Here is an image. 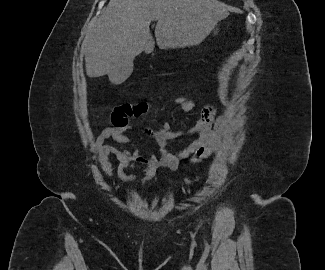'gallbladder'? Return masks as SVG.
<instances>
[{"instance_id": "1", "label": "gallbladder", "mask_w": 325, "mask_h": 270, "mask_svg": "<svg viewBox=\"0 0 325 270\" xmlns=\"http://www.w3.org/2000/svg\"><path fill=\"white\" fill-rule=\"evenodd\" d=\"M132 66L131 63L126 62H118L116 65V69L113 70L114 73H120V74H127L130 72Z\"/></svg>"}]
</instances>
